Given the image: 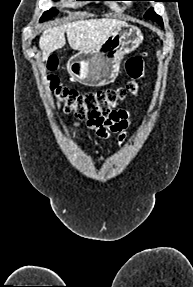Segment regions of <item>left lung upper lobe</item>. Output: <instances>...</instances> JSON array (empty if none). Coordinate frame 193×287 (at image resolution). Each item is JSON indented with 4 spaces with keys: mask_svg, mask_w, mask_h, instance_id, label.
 I'll use <instances>...</instances> for the list:
<instances>
[{
    "mask_svg": "<svg viewBox=\"0 0 193 287\" xmlns=\"http://www.w3.org/2000/svg\"><path fill=\"white\" fill-rule=\"evenodd\" d=\"M153 1L157 2L158 0H153ZM144 17L147 18V19H150V20H152V21L157 22L160 26L163 27L162 18H161L159 15H157V14L153 11V8H150V9L146 12V14L144 15Z\"/></svg>",
    "mask_w": 193,
    "mask_h": 287,
    "instance_id": "left-lung-upper-lobe-1",
    "label": "left lung upper lobe"
}]
</instances>
